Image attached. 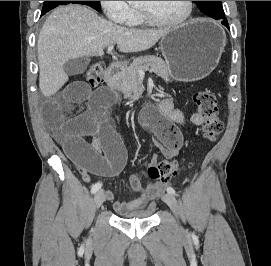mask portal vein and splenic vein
<instances>
[{
    "mask_svg": "<svg viewBox=\"0 0 271 266\" xmlns=\"http://www.w3.org/2000/svg\"><path fill=\"white\" fill-rule=\"evenodd\" d=\"M113 50V45L108 46V53H111ZM139 74H144V71L140 70Z\"/></svg>",
    "mask_w": 271,
    "mask_h": 266,
    "instance_id": "obj_1",
    "label": "portal vein and splenic vein"
}]
</instances>
